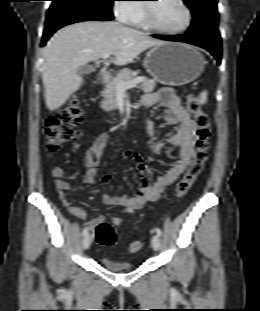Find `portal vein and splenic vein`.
Listing matches in <instances>:
<instances>
[{"mask_svg":"<svg viewBox=\"0 0 260 311\" xmlns=\"http://www.w3.org/2000/svg\"><path fill=\"white\" fill-rule=\"evenodd\" d=\"M109 57H110V54H104L102 56V59L107 60ZM144 79H145L144 77H136V78H133L132 80L127 81V82L120 81L117 85L118 91H125L127 89L133 88L137 84L143 82Z\"/></svg>","mask_w":260,"mask_h":311,"instance_id":"obj_1","label":"portal vein and splenic vein"}]
</instances>
